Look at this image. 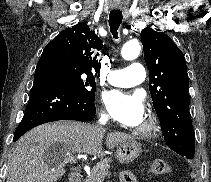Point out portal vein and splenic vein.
Returning a JSON list of instances; mask_svg holds the SVG:
<instances>
[{"label":"portal vein and splenic vein","mask_w":211,"mask_h":182,"mask_svg":"<svg viewBox=\"0 0 211 182\" xmlns=\"http://www.w3.org/2000/svg\"><path fill=\"white\" fill-rule=\"evenodd\" d=\"M65 161L66 162H72V163H76L77 162V159L70 153H67L65 155Z\"/></svg>","instance_id":"portal-vein-and-splenic-vein-1"}]
</instances>
